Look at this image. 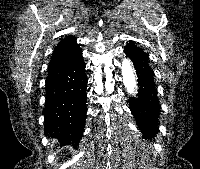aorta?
<instances>
[{
    "instance_id": "762f6f07",
    "label": "aorta",
    "mask_w": 200,
    "mask_h": 169,
    "mask_svg": "<svg viewBox=\"0 0 200 169\" xmlns=\"http://www.w3.org/2000/svg\"><path fill=\"white\" fill-rule=\"evenodd\" d=\"M121 74L126 91L130 95L135 94L137 88L136 75L131 61L127 58H124L122 61Z\"/></svg>"
}]
</instances>
